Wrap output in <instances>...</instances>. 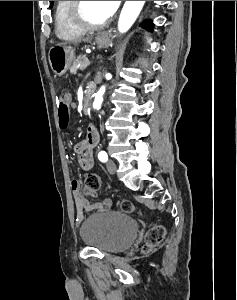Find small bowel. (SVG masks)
<instances>
[{"mask_svg": "<svg viewBox=\"0 0 237 300\" xmlns=\"http://www.w3.org/2000/svg\"><path fill=\"white\" fill-rule=\"evenodd\" d=\"M91 89V86L88 87ZM64 99L65 101L70 104L71 102V94L65 93L61 97L60 100ZM100 140L99 131L97 125L92 123L89 125L87 129L86 136L83 140L77 142L74 145V153L77 156V162L81 169L89 170L93 165V150L98 145ZM71 188L76 200V207H77V220L81 221L83 219V214L85 211H92V210H103L110 207L111 203L109 200L105 199L100 202L94 203L92 205L87 204L83 197L80 194V185L77 180H73L71 182Z\"/></svg>", "mask_w": 237, "mask_h": 300, "instance_id": "c3829d8e", "label": "small bowel"}]
</instances>
